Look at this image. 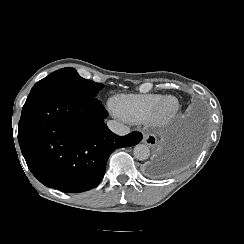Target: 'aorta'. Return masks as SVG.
<instances>
[{"label":"aorta","instance_id":"obj_1","mask_svg":"<svg viewBox=\"0 0 244 244\" xmlns=\"http://www.w3.org/2000/svg\"><path fill=\"white\" fill-rule=\"evenodd\" d=\"M134 157L138 160H146L150 156V150L145 144H137L133 150Z\"/></svg>","mask_w":244,"mask_h":244}]
</instances>
